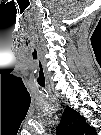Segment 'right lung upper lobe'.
Wrapping results in <instances>:
<instances>
[{"label":"right lung upper lobe","mask_w":101,"mask_h":135,"mask_svg":"<svg viewBox=\"0 0 101 135\" xmlns=\"http://www.w3.org/2000/svg\"><path fill=\"white\" fill-rule=\"evenodd\" d=\"M66 124L70 125L73 135H95L94 129L86 123V119L70 107L64 109L61 123L57 127V134L66 133Z\"/></svg>","instance_id":"cb5924a9"}]
</instances>
